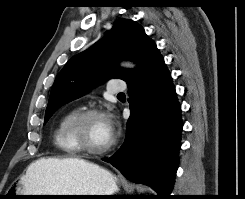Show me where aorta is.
Returning a JSON list of instances; mask_svg holds the SVG:
<instances>
[{
    "label": "aorta",
    "mask_w": 245,
    "mask_h": 199,
    "mask_svg": "<svg viewBox=\"0 0 245 199\" xmlns=\"http://www.w3.org/2000/svg\"><path fill=\"white\" fill-rule=\"evenodd\" d=\"M122 66L127 67V68H133L134 67V65L130 62H124V63H122Z\"/></svg>",
    "instance_id": "762f6f07"
}]
</instances>
